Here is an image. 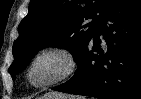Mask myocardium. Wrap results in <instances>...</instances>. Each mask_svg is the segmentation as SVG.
<instances>
[{"instance_id":"f54148a6","label":"myocardium","mask_w":141,"mask_h":99,"mask_svg":"<svg viewBox=\"0 0 141 99\" xmlns=\"http://www.w3.org/2000/svg\"><path fill=\"white\" fill-rule=\"evenodd\" d=\"M50 54H57L62 56L67 62V70L62 76L50 82H47L44 84H35L31 79V72L33 70V67L35 66V64L37 63L39 59ZM77 68H78V61H77L76 55L70 48L65 46H54V47L43 49L42 51H40L33 57V59L31 60L27 68L26 78L33 87L38 89H45V88H49V87H52L67 81L76 73Z\"/></svg>"}]
</instances>
